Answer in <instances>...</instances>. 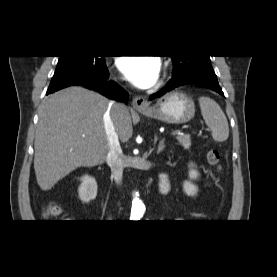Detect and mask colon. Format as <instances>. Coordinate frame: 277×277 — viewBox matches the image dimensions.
<instances>
[{"label":"colon","mask_w":277,"mask_h":277,"mask_svg":"<svg viewBox=\"0 0 277 277\" xmlns=\"http://www.w3.org/2000/svg\"><path fill=\"white\" fill-rule=\"evenodd\" d=\"M207 158L210 164L212 165H218L220 162V154L217 150L212 149L208 152ZM60 213V209L55 204H50L46 208L45 215L48 217H54L57 216Z\"/></svg>","instance_id":"5ec220e1"}]
</instances>
